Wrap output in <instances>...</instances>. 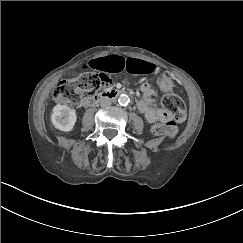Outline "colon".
Instances as JSON below:
<instances>
[{
    "label": "colon",
    "mask_w": 243,
    "mask_h": 243,
    "mask_svg": "<svg viewBox=\"0 0 243 243\" xmlns=\"http://www.w3.org/2000/svg\"><path fill=\"white\" fill-rule=\"evenodd\" d=\"M110 84L111 79L105 74L85 72L74 79L59 82L54 89L53 98L57 103L77 105L84 93H96ZM161 103L171 119L155 124L152 131L157 136L173 138L177 133V122L185 119V103L175 94H165Z\"/></svg>",
    "instance_id": "obj_1"
}]
</instances>
